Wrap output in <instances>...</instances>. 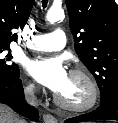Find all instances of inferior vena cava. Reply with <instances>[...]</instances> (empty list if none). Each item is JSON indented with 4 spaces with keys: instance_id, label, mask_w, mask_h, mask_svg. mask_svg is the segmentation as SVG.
Here are the masks:
<instances>
[{
    "instance_id": "obj_1",
    "label": "inferior vena cava",
    "mask_w": 118,
    "mask_h": 123,
    "mask_svg": "<svg viewBox=\"0 0 118 123\" xmlns=\"http://www.w3.org/2000/svg\"><path fill=\"white\" fill-rule=\"evenodd\" d=\"M35 87L33 85H29L24 89V94L27 102H29L33 106H37L38 102L36 96L34 95ZM24 123V122H22Z\"/></svg>"
}]
</instances>
